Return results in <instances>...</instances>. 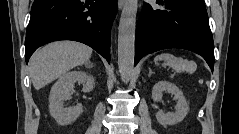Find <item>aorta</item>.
Masks as SVG:
<instances>
[{
    "label": "aorta",
    "instance_id": "aorta-1",
    "mask_svg": "<svg viewBox=\"0 0 239 134\" xmlns=\"http://www.w3.org/2000/svg\"><path fill=\"white\" fill-rule=\"evenodd\" d=\"M137 9L138 0H125L118 26V68L126 83L134 69Z\"/></svg>",
    "mask_w": 239,
    "mask_h": 134
}]
</instances>
